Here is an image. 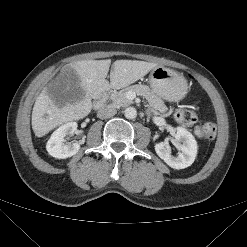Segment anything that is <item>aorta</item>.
<instances>
[{
  "label": "aorta",
  "instance_id": "762f6f07",
  "mask_svg": "<svg viewBox=\"0 0 247 247\" xmlns=\"http://www.w3.org/2000/svg\"><path fill=\"white\" fill-rule=\"evenodd\" d=\"M124 115L127 119H134L137 116V111L134 107H128L124 110Z\"/></svg>",
  "mask_w": 247,
  "mask_h": 247
}]
</instances>
